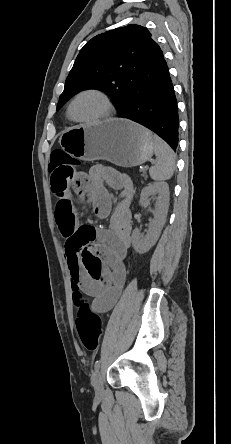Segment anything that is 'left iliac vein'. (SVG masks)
I'll return each instance as SVG.
<instances>
[{
    "mask_svg": "<svg viewBox=\"0 0 231 444\" xmlns=\"http://www.w3.org/2000/svg\"><path fill=\"white\" fill-rule=\"evenodd\" d=\"M92 385L94 387L95 393L97 396H101L103 394V378L102 374L99 370H97L92 376Z\"/></svg>",
    "mask_w": 231,
    "mask_h": 444,
    "instance_id": "obj_1",
    "label": "left iliac vein"
}]
</instances>
